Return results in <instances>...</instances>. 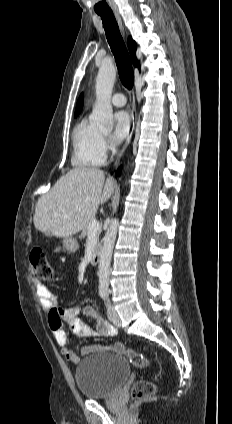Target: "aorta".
Here are the masks:
<instances>
[{"label": "aorta", "instance_id": "762f6f07", "mask_svg": "<svg viewBox=\"0 0 232 424\" xmlns=\"http://www.w3.org/2000/svg\"><path fill=\"white\" fill-rule=\"evenodd\" d=\"M116 79V69L113 65L104 64L99 68L96 78V102L91 114V120L100 127H113V109L111 96ZM119 221L112 219L104 237L98 265L99 292L107 293L109 288L110 264L115 244Z\"/></svg>", "mask_w": 232, "mask_h": 424}]
</instances>
